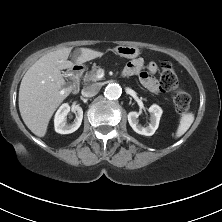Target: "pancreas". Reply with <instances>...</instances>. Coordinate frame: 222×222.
I'll return each mask as SVG.
<instances>
[{
  "instance_id": "cf45deb5",
  "label": "pancreas",
  "mask_w": 222,
  "mask_h": 222,
  "mask_svg": "<svg viewBox=\"0 0 222 222\" xmlns=\"http://www.w3.org/2000/svg\"><path fill=\"white\" fill-rule=\"evenodd\" d=\"M98 70V66H93L92 69L85 74L83 78L84 82H96L100 80V78L98 77Z\"/></svg>"
}]
</instances>
